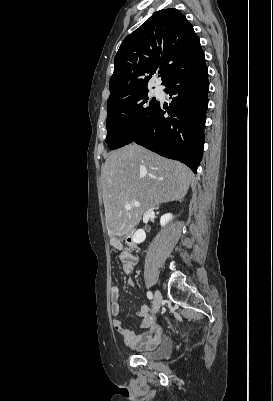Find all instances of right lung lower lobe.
<instances>
[{"mask_svg": "<svg viewBox=\"0 0 273 401\" xmlns=\"http://www.w3.org/2000/svg\"><path fill=\"white\" fill-rule=\"evenodd\" d=\"M172 97L169 107L159 103L153 116L132 142L164 157L185 163L196 173L203 145L208 106V70L205 60L179 68L164 84ZM168 113L170 117H165Z\"/></svg>", "mask_w": 273, "mask_h": 401, "instance_id": "1", "label": "right lung lower lobe"}]
</instances>
